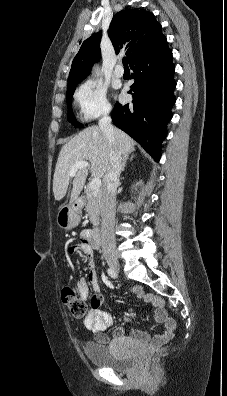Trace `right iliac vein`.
Masks as SVG:
<instances>
[{
    "mask_svg": "<svg viewBox=\"0 0 227 396\" xmlns=\"http://www.w3.org/2000/svg\"><path fill=\"white\" fill-rule=\"evenodd\" d=\"M108 265L110 266L111 269L117 270L119 268V264L115 260H109Z\"/></svg>",
    "mask_w": 227,
    "mask_h": 396,
    "instance_id": "right-iliac-vein-1",
    "label": "right iliac vein"
}]
</instances>
